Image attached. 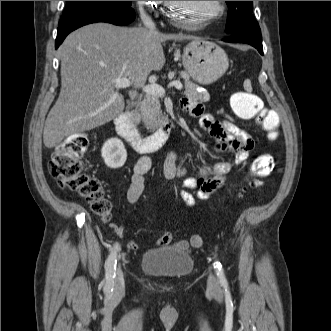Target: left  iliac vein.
<instances>
[{
    "mask_svg": "<svg viewBox=\"0 0 331 331\" xmlns=\"http://www.w3.org/2000/svg\"><path fill=\"white\" fill-rule=\"evenodd\" d=\"M208 288L211 291H216L217 288H218L217 282H216L215 278L212 275H210L209 278H208Z\"/></svg>",
    "mask_w": 331,
    "mask_h": 331,
    "instance_id": "obj_1",
    "label": "left iliac vein"
}]
</instances>
